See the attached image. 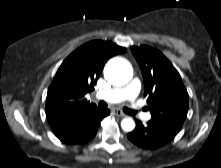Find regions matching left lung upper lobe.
<instances>
[{
	"instance_id": "obj_1",
	"label": "left lung upper lobe",
	"mask_w": 221,
	"mask_h": 168,
	"mask_svg": "<svg viewBox=\"0 0 221 168\" xmlns=\"http://www.w3.org/2000/svg\"><path fill=\"white\" fill-rule=\"evenodd\" d=\"M144 79L151 121L180 131L188 113L189 96L182 79L171 62L149 46H132Z\"/></svg>"
}]
</instances>
